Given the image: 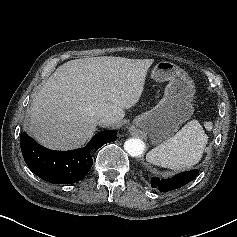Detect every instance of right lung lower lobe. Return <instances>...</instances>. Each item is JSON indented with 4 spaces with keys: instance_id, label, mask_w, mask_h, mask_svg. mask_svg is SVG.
<instances>
[{
    "instance_id": "obj_1",
    "label": "right lung lower lobe",
    "mask_w": 237,
    "mask_h": 237,
    "mask_svg": "<svg viewBox=\"0 0 237 237\" xmlns=\"http://www.w3.org/2000/svg\"><path fill=\"white\" fill-rule=\"evenodd\" d=\"M116 138L114 131H104L96 134L85 148L53 151L22 133L20 146L23 158L34 174L53 184H70L83 179L89 172L93 164L91 151H97Z\"/></svg>"
}]
</instances>
